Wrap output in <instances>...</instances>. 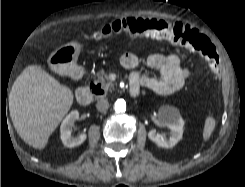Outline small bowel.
I'll return each instance as SVG.
<instances>
[{
	"mask_svg": "<svg viewBox=\"0 0 245 187\" xmlns=\"http://www.w3.org/2000/svg\"><path fill=\"white\" fill-rule=\"evenodd\" d=\"M120 62L124 68L131 71L130 90L132 94H134L135 87L138 90L145 87L158 94H171L181 89L188 77L198 73L194 69L182 68L180 59L175 54H153L145 58V65L153 70L155 75L148 74L141 68V60L135 54H123Z\"/></svg>",
	"mask_w": 245,
	"mask_h": 187,
	"instance_id": "c3829d8e",
	"label": "small bowel"
}]
</instances>
